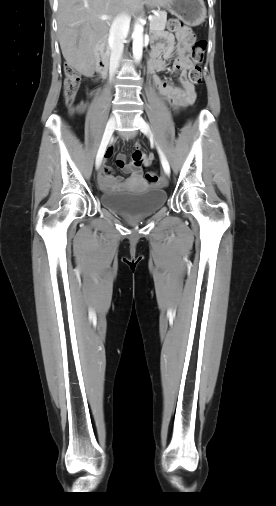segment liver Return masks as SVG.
<instances>
[{
	"label": "liver",
	"instance_id": "liver-1",
	"mask_svg": "<svg viewBox=\"0 0 276 506\" xmlns=\"http://www.w3.org/2000/svg\"><path fill=\"white\" fill-rule=\"evenodd\" d=\"M170 0H59L58 38L67 64L84 75L94 73L93 49L121 13L135 15L142 4L165 7ZM107 15L108 20L99 16Z\"/></svg>",
	"mask_w": 276,
	"mask_h": 506
}]
</instances>
